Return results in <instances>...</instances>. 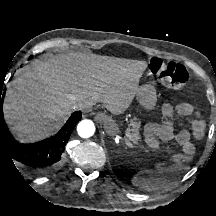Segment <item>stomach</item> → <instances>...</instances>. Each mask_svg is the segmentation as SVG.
I'll return each mask as SVG.
<instances>
[{"label":"stomach","mask_w":216,"mask_h":216,"mask_svg":"<svg viewBox=\"0 0 216 216\" xmlns=\"http://www.w3.org/2000/svg\"><path fill=\"white\" fill-rule=\"evenodd\" d=\"M136 99L147 110H153L156 106V91L152 85L145 84L138 87ZM112 132V131H110Z\"/></svg>","instance_id":"1"}]
</instances>
